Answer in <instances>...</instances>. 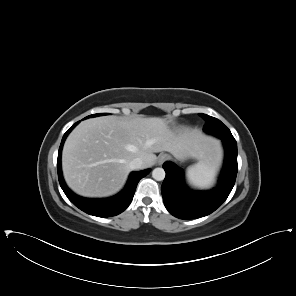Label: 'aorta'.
I'll use <instances>...</instances> for the list:
<instances>
[{"label": "aorta", "mask_w": 296, "mask_h": 296, "mask_svg": "<svg viewBox=\"0 0 296 296\" xmlns=\"http://www.w3.org/2000/svg\"><path fill=\"white\" fill-rule=\"evenodd\" d=\"M152 177L157 181H162L165 178V170L163 168H155L152 171Z\"/></svg>", "instance_id": "762f6f07"}]
</instances>
